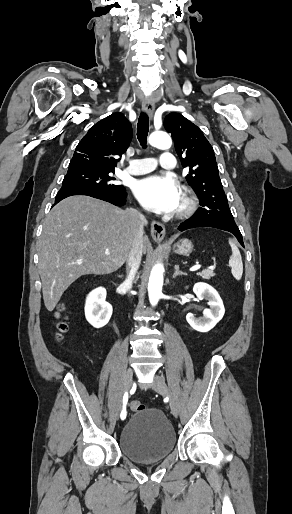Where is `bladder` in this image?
I'll return each mask as SVG.
<instances>
[{
  "label": "bladder",
  "mask_w": 292,
  "mask_h": 514,
  "mask_svg": "<svg viewBox=\"0 0 292 514\" xmlns=\"http://www.w3.org/2000/svg\"><path fill=\"white\" fill-rule=\"evenodd\" d=\"M122 454L138 462L167 457L176 446V434L164 413L156 408L135 411L125 422L118 439Z\"/></svg>",
  "instance_id": "31cf9c89"
}]
</instances>
